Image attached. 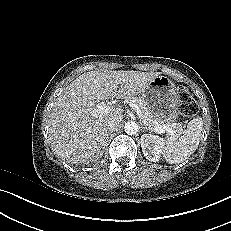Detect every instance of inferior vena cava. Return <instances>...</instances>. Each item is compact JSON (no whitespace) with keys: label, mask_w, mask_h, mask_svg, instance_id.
<instances>
[{"label":"inferior vena cava","mask_w":231,"mask_h":231,"mask_svg":"<svg viewBox=\"0 0 231 231\" xmlns=\"http://www.w3.org/2000/svg\"><path fill=\"white\" fill-rule=\"evenodd\" d=\"M121 120L119 119H110L106 122V128L108 130V132H112L113 130H115L118 125L120 124Z\"/></svg>","instance_id":"inferior-vena-cava-1"}]
</instances>
